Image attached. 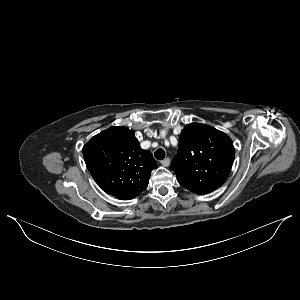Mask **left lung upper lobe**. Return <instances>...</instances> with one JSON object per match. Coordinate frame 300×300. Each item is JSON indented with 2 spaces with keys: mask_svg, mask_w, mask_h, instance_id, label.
Returning a JSON list of instances; mask_svg holds the SVG:
<instances>
[{
  "mask_svg": "<svg viewBox=\"0 0 300 300\" xmlns=\"http://www.w3.org/2000/svg\"><path fill=\"white\" fill-rule=\"evenodd\" d=\"M232 140L222 131L201 123L184 127L178 154L171 163L179 184L196 194L220 187L233 165Z\"/></svg>",
  "mask_w": 300,
  "mask_h": 300,
  "instance_id": "left-lung-upper-lobe-1",
  "label": "left lung upper lobe"
}]
</instances>
